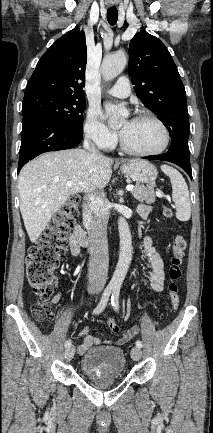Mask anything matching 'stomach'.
I'll return each instance as SVG.
<instances>
[{
  "label": "stomach",
  "instance_id": "stomach-1",
  "mask_svg": "<svg viewBox=\"0 0 213 433\" xmlns=\"http://www.w3.org/2000/svg\"><path fill=\"white\" fill-rule=\"evenodd\" d=\"M122 173L139 183H154L157 177V169L145 160H134L120 167Z\"/></svg>",
  "mask_w": 213,
  "mask_h": 433
}]
</instances>
